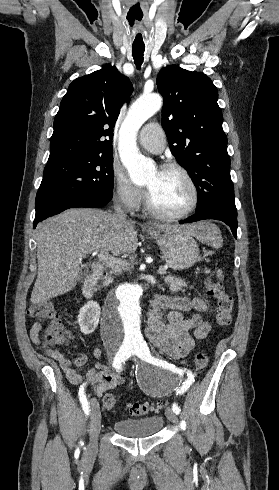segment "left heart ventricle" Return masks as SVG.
<instances>
[{
  "label": "left heart ventricle",
  "mask_w": 279,
  "mask_h": 490,
  "mask_svg": "<svg viewBox=\"0 0 279 490\" xmlns=\"http://www.w3.org/2000/svg\"><path fill=\"white\" fill-rule=\"evenodd\" d=\"M147 184L155 206L166 213L179 212L190 201V188L184 177L177 172L155 171Z\"/></svg>",
  "instance_id": "1"
}]
</instances>
